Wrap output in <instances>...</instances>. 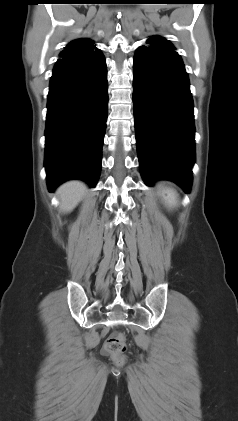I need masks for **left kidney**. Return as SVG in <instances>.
I'll use <instances>...</instances> for the list:
<instances>
[{
  "instance_id": "obj_1",
  "label": "left kidney",
  "mask_w": 238,
  "mask_h": 421,
  "mask_svg": "<svg viewBox=\"0 0 238 421\" xmlns=\"http://www.w3.org/2000/svg\"><path fill=\"white\" fill-rule=\"evenodd\" d=\"M160 195L163 198L165 205L169 208H174L178 205V194L171 188H160Z\"/></svg>"
}]
</instances>
